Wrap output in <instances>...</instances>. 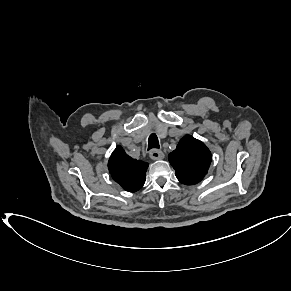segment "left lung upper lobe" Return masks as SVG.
<instances>
[{
  "mask_svg": "<svg viewBox=\"0 0 291 291\" xmlns=\"http://www.w3.org/2000/svg\"><path fill=\"white\" fill-rule=\"evenodd\" d=\"M212 160L206 145L191 135L184 136L177 148L169 154V162L177 179L186 185L200 182L206 175Z\"/></svg>",
  "mask_w": 291,
  "mask_h": 291,
  "instance_id": "obj_1",
  "label": "left lung upper lobe"
}]
</instances>
